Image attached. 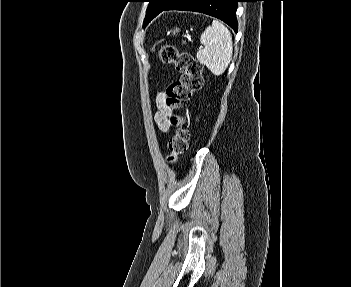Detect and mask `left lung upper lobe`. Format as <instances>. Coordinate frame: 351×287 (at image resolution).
<instances>
[{
	"label": "left lung upper lobe",
	"mask_w": 351,
	"mask_h": 287,
	"mask_svg": "<svg viewBox=\"0 0 351 287\" xmlns=\"http://www.w3.org/2000/svg\"><path fill=\"white\" fill-rule=\"evenodd\" d=\"M149 2L144 26H146L154 17H156L164 8L173 0H147Z\"/></svg>",
	"instance_id": "1"
}]
</instances>
